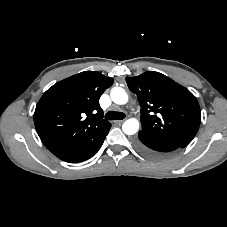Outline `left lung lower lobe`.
Returning <instances> with one entry per match:
<instances>
[{"instance_id":"obj_1","label":"left lung lower lobe","mask_w":227,"mask_h":227,"mask_svg":"<svg viewBox=\"0 0 227 227\" xmlns=\"http://www.w3.org/2000/svg\"><path fill=\"white\" fill-rule=\"evenodd\" d=\"M135 146L141 153L151 158L165 157L172 151L180 148V146L176 143L147 136L140 132L135 141Z\"/></svg>"}]
</instances>
